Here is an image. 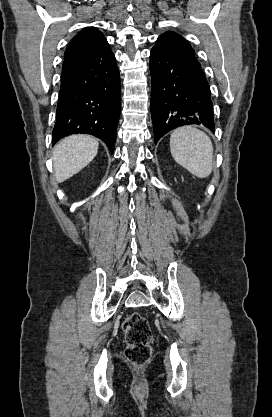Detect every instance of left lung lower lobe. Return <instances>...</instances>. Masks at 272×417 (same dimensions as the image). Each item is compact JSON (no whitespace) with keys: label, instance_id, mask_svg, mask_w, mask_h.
Here are the masks:
<instances>
[{"label":"left lung lower lobe","instance_id":"left-lung-lower-lobe-1","mask_svg":"<svg viewBox=\"0 0 272 417\" xmlns=\"http://www.w3.org/2000/svg\"><path fill=\"white\" fill-rule=\"evenodd\" d=\"M155 143L188 124L215 129L210 86L195 55L153 47L149 64Z\"/></svg>","mask_w":272,"mask_h":417}]
</instances>
